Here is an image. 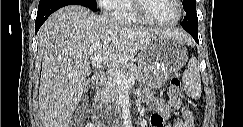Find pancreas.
<instances>
[{
    "mask_svg": "<svg viewBox=\"0 0 243 127\" xmlns=\"http://www.w3.org/2000/svg\"><path fill=\"white\" fill-rule=\"evenodd\" d=\"M126 78L134 75L135 79L142 80L143 74L139 67L133 63L127 64L119 70ZM121 86L117 84L113 77H111L103 90L100 93L99 99L109 109L120 110V94Z\"/></svg>",
    "mask_w": 243,
    "mask_h": 127,
    "instance_id": "pancreas-1",
    "label": "pancreas"
}]
</instances>
